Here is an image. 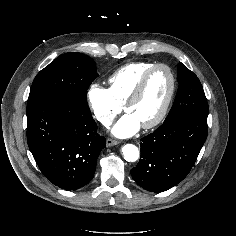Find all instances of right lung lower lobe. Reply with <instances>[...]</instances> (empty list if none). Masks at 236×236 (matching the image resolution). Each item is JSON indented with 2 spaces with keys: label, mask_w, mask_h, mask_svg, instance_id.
Instances as JSON below:
<instances>
[{
  "label": "right lung lower lobe",
  "mask_w": 236,
  "mask_h": 236,
  "mask_svg": "<svg viewBox=\"0 0 236 236\" xmlns=\"http://www.w3.org/2000/svg\"><path fill=\"white\" fill-rule=\"evenodd\" d=\"M27 142L45 177L67 191L93 178L106 147L88 106L50 100L27 105Z\"/></svg>",
  "instance_id": "right-lung-lower-lobe-1"
}]
</instances>
